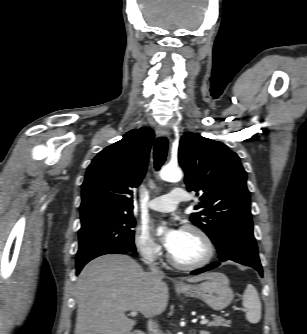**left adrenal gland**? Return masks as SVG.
<instances>
[{
	"instance_id": "left-adrenal-gland-1",
	"label": "left adrenal gland",
	"mask_w": 307,
	"mask_h": 334,
	"mask_svg": "<svg viewBox=\"0 0 307 334\" xmlns=\"http://www.w3.org/2000/svg\"><path fill=\"white\" fill-rule=\"evenodd\" d=\"M200 334H210V333L207 332V331L201 330V331H200Z\"/></svg>"
}]
</instances>
